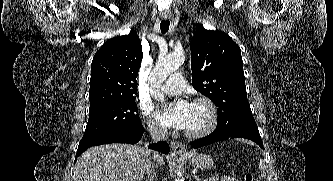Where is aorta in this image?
I'll use <instances>...</instances> for the list:
<instances>
[{"label":"aorta","mask_w":333,"mask_h":181,"mask_svg":"<svg viewBox=\"0 0 333 181\" xmlns=\"http://www.w3.org/2000/svg\"><path fill=\"white\" fill-rule=\"evenodd\" d=\"M184 60L185 54L183 51H175L167 57L158 60L150 75V81L154 89L152 93L155 100L161 103L165 102L164 94L159 92V88L166 78L180 67ZM175 181L183 180L178 178Z\"/></svg>","instance_id":"aorta-1"}]
</instances>
